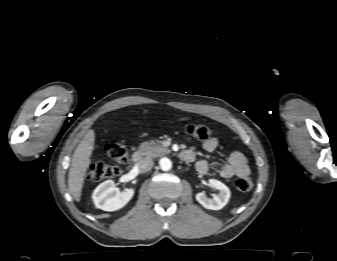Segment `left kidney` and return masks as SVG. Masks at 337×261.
<instances>
[{
    "label": "left kidney",
    "instance_id": "left-kidney-1",
    "mask_svg": "<svg viewBox=\"0 0 337 261\" xmlns=\"http://www.w3.org/2000/svg\"><path fill=\"white\" fill-rule=\"evenodd\" d=\"M209 186L217 189L219 193L214 195L213 198H208L205 193L200 192L196 194V200L206 209H222L229 201L231 195L229 188L224 183L216 179H210Z\"/></svg>",
    "mask_w": 337,
    "mask_h": 261
}]
</instances>
